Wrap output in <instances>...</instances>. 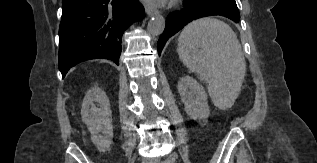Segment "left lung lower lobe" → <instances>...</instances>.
Segmentation results:
<instances>
[{
	"label": "left lung lower lobe",
	"instance_id": "obj_1",
	"mask_svg": "<svg viewBox=\"0 0 317 163\" xmlns=\"http://www.w3.org/2000/svg\"><path fill=\"white\" fill-rule=\"evenodd\" d=\"M183 6V11L173 13L167 17L165 30L158 40L159 55L166 41L193 20L212 15L225 16L235 22L240 19L238 8L218 1L184 0Z\"/></svg>",
	"mask_w": 317,
	"mask_h": 163
}]
</instances>
